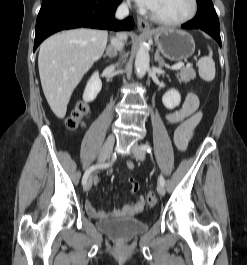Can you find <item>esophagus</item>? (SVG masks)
<instances>
[{"label":"esophagus","instance_id":"esophagus-1","mask_svg":"<svg viewBox=\"0 0 247 265\" xmlns=\"http://www.w3.org/2000/svg\"><path fill=\"white\" fill-rule=\"evenodd\" d=\"M137 27L141 32L147 33L150 31L149 23L141 17H137Z\"/></svg>","mask_w":247,"mask_h":265}]
</instances>
